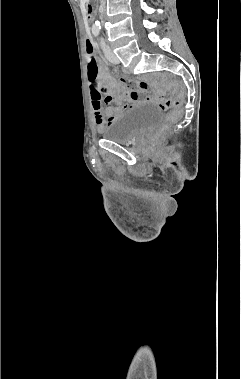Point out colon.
Returning <instances> with one entry per match:
<instances>
[{"label":"colon","instance_id":"colon-1","mask_svg":"<svg viewBox=\"0 0 241 379\" xmlns=\"http://www.w3.org/2000/svg\"><path fill=\"white\" fill-rule=\"evenodd\" d=\"M86 55H87V69H88V86L89 89H100L99 82H97L98 64L94 53L93 43L90 40L86 41ZM103 92V91H102ZM159 106L162 109L173 110L167 115L164 123L158 130V137L163 136L169 128L179 119L181 116V106L183 104V96L180 95L177 98L171 99L165 96H161L157 100Z\"/></svg>","mask_w":241,"mask_h":379}]
</instances>
